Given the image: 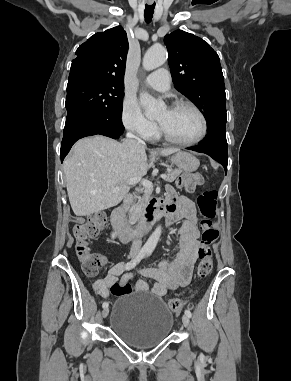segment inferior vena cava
<instances>
[{
    "mask_svg": "<svg viewBox=\"0 0 291 381\" xmlns=\"http://www.w3.org/2000/svg\"><path fill=\"white\" fill-rule=\"evenodd\" d=\"M126 136H127V138L136 140L137 143L140 144L142 147L146 146L144 141H142L140 138L136 137L131 132H128L126 134ZM141 246H142V241L140 239H135L132 243L130 253L131 254H137L140 251Z\"/></svg>",
    "mask_w": 291,
    "mask_h": 381,
    "instance_id": "obj_1",
    "label": "inferior vena cava"
}]
</instances>
